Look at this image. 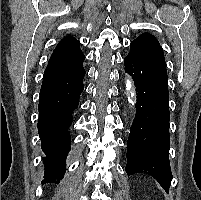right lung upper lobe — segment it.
I'll use <instances>...</instances> for the list:
<instances>
[{
  "label": "right lung upper lobe",
  "instance_id": "cb5924a9",
  "mask_svg": "<svg viewBox=\"0 0 201 200\" xmlns=\"http://www.w3.org/2000/svg\"><path fill=\"white\" fill-rule=\"evenodd\" d=\"M79 44L72 36H66L58 43L45 69L43 81L65 76L82 66L85 56Z\"/></svg>",
  "mask_w": 201,
  "mask_h": 200
}]
</instances>
